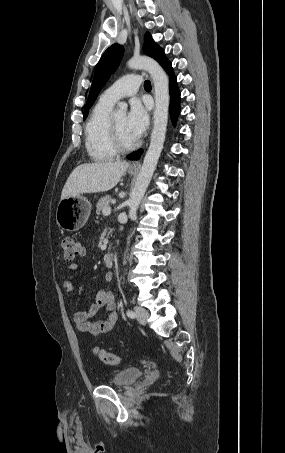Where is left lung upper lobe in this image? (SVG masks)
<instances>
[{
    "label": "left lung upper lobe",
    "instance_id": "5c2ea615",
    "mask_svg": "<svg viewBox=\"0 0 285 453\" xmlns=\"http://www.w3.org/2000/svg\"><path fill=\"white\" fill-rule=\"evenodd\" d=\"M144 42L145 43L143 45V52L146 55L158 61L160 57L164 54L162 48H160L153 41L150 33L148 32L144 37ZM123 52L124 50L122 46H120L119 44H113L104 52L103 56L99 60L97 68L95 70L92 86L90 89V94L85 105L83 119L87 117L88 111L90 107L93 105L101 88L105 85L106 81L109 79L111 74L118 67L123 57Z\"/></svg>",
    "mask_w": 285,
    "mask_h": 453
}]
</instances>
